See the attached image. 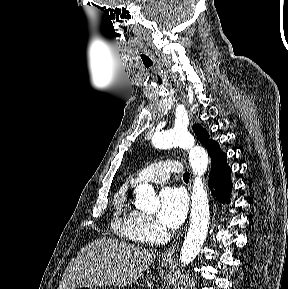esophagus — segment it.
<instances>
[{"instance_id": "obj_1", "label": "esophagus", "mask_w": 288, "mask_h": 289, "mask_svg": "<svg viewBox=\"0 0 288 289\" xmlns=\"http://www.w3.org/2000/svg\"><path fill=\"white\" fill-rule=\"evenodd\" d=\"M177 242L173 243L170 248H168L161 257L162 261H169L173 258L175 250H176Z\"/></svg>"}]
</instances>
